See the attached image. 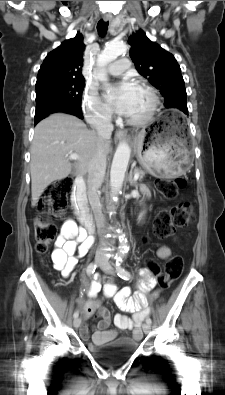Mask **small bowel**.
<instances>
[{
	"label": "small bowel",
	"instance_id": "c3829d8e",
	"mask_svg": "<svg viewBox=\"0 0 225 395\" xmlns=\"http://www.w3.org/2000/svg\"><path fill=\"white\" fill-rule=\"evenodd\" d=\"M148 193L147 189H143ZM94 238L88 234L84 229L77 227L75 222L66 221L61 227V232L56 240V247L52 253V260L55 269L62 272L64 276H69L78 263V259L85 256L93 245ZM157 255L161 259H166L170 256V249L163 245L158 251ZM141 291L133 296L130 295V289L125 287L119 290V283H111L104 285V293L108 297H114L117 306L127 312L133 313V318L127 315L118 314L114 318V323L117 329H109L111 323L110 314L106 310H100V321L97 324V329L92 335V341L96 345L105 344L118 336L119 330H128L131 332V337L138 340L142 337L140 330L141 322L149 313L147 308V301L144 293L152 289L156 284L155 275L150 272H142ZM95 277L88 288L89 301L80 305L82 319L84 321L92 317L99 306L97 299L98 293L101 290V283ZM154 297L158 296V292H154ZM81 337L84 340L89 338L88 327L84 324L80 329Z\"/></svg>",
	"mask_w": 225,
	"mask_h": 395
}]
</instances>
